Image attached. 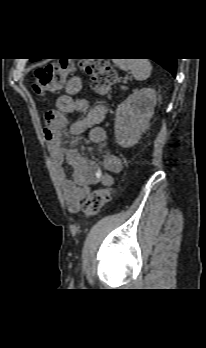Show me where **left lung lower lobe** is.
Instances as JSON below:
<instances>
[{
  "mask_svg": "<svg viewBox=\"0 0 206 348\" xmlns=\"http://www.w3.org/2000/svg\"><path fill=\"white\" fill-rule=\"evenodd\" d=\"M153 60L164 67L166 70H168L170 73H172L173 76H175L177 69L176 58H159Z\"/></svg>",
  "mask_w": 206,
  "mask_h": 348,
  "instance_id": "1",
  "label": "left lung lower lobe"
}]
</instances>
